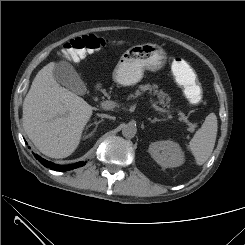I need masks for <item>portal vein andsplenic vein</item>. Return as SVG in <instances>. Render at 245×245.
<instances>
[{"mask_svg":"<svg viewBox=\"0 0 245 245\" xmlns=\"http://www.w3.org/2000/svg\"><path fill=\"white\" fill-rule=\"evenodd\" d=\"M117 105H118V104H117L115 101H103V102L101 103L102 108H104V109H106V110L113 109V108H115ZM151 105H152V107H153L156 111H158V112H160V113H164V114H170V113H171L170 110L165 109V108H162V107L158 106L157 104H155V103L152 102V101H151ZM179 119L182 120L183 122H185V123L189 126L190 130H192V131L194 130L195 124L189 122V120L187 119V117H185L184 115H181V116L179 117Z\"/></svg>","mask_w":245,"mask_h":245,"instance_id":"portal-vein-and-splenic-vein-1","label":"portal vein and splenic vein"}]
</instances>
